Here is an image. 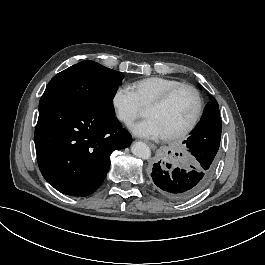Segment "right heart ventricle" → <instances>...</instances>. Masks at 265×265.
<instances>
[{"mask_svg":"<svg viewBox=\"0 0 265 265\" xmlns=\"http://www.w3.org/2000/svg\"><path fill=\"white\" fill-rule=\"evenodd\" d=\"M183 84L184 83L179 80L153 76L133 82L131 88L135 93L139 104L142 105L143 108H147L168 91Z\"/></svg>","mask_w":265,"mask_h":265,"instance_id":"1","label":"right heart ventricle"}]
</instances>
